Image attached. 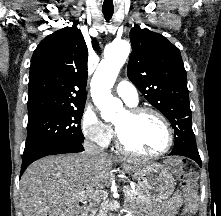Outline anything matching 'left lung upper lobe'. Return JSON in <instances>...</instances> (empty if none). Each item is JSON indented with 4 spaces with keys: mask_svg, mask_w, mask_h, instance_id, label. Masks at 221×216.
Returning <instances> with one entry per match:
<instances>
[{
    "mask_svg": "<svg viewBox=\"0 0 221 216\" xmlns=\"http://www.w3.org/2000/svg\"><path fill=\"white\" fill-rule=\"evenodd\" d=\"M130 40L128 78L146 100L168 118L174 129V147H188L199 154L192 130L186 71L179 49L161 34L139 26L131 29Z\"/></svg>",
    "mask_w": 221,
    "mask_h": 216,
    "instance_id": "left-lung-upper-lobe-1",
    "label": "left lung upper lobe"
}]
</instances>
